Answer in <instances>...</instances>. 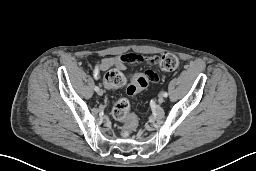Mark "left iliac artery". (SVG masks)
<instances>
[{
	"mask_svg": "<svg viewBox=\"0 0 256 171\" xmlns=\"http://www.w3.org/2000/svg\"><path fill=\"white\" fill-rule=\"evenodd\" d=\"M162 95H163L164 97H167V96H168V93H167V92H163Z\"/></svg>",
	"mask_w": 256,
	"mask_h": 171,
	"instance_id": "44dca946",
	"label": "left iliac artery"
}]
</instances>
